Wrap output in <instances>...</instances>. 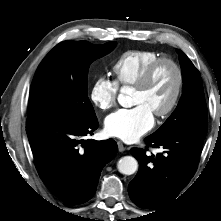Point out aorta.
<instances>
[{
    "label": "aorta",
    "mask_w": 221,
    "mask_h": 221,
    "mask_svg": "<svg viewBox=\"0 0 221 221\" xmlns=\"http://www.w3.org/2000/svg\"><path fill=\"white\" fill-rule=\"evenodd\" d=\"M125 92L123 91L119 97L118 101L122 106H125ZM118 171L124 175H132L138 169V162L132 156H124L117 163Z\"/></svg>",
    "instance_id": "1"
}]
</instances>
